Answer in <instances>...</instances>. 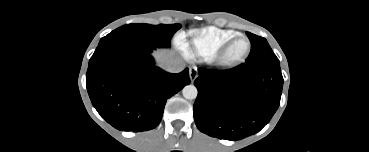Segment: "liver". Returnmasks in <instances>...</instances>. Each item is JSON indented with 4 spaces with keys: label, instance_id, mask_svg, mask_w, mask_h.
I'll return each mask as SVG.
<instances>
[{
    "label": "liver",
    "instance_id": "obj_1",
    "mask_svg": "<svg viewBox=\"0 0 369 152\" xmlns=\"http://www.w3.org/2000/svg\"><path fill=\"white\" fill-rule=\"evenodd\" d=\"M154 56L160 66L167 60L176 59L174 54L168 50H160L154 53Z\"/></svg>",
    "mask_w": 369,
    "mask_h": 152
}]
</instances>
